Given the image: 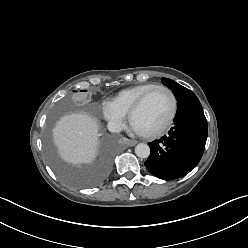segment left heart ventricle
<instances>
[{
  "instance_id": "b2bd125f",
  "label": "left heart ventricle",
  "mask_w": 248,
  "mask_h": 248,
  "mask_svg": "<svg viewBox=\"0 0 248 248\" xmlns=\"http://www.w3.org/2000/svg\"><path fill=\"white\" fill-rule=\"evenodd\" d=\"M172 110L170 96L162 90L154 92L134 115L132 126L140 133L158 130L168 120Z\"/></svg>"
}]
</instances>
